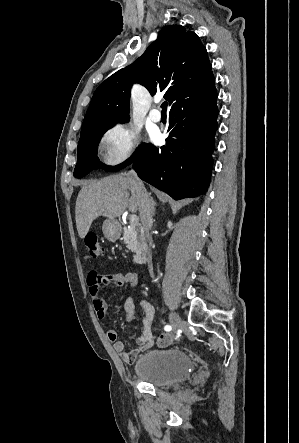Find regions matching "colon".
Wrapping results in <instances>:
<instances>
[{"instance_id":"1","label":"colon","mask_w":299,"mask_h":443,"mask_svg":"<svg viewBox=\"0 0 299 443\" xmlns=\"http://www.w3.org/2000/svg\"><path fill=\"white\" fill-rule=\"evenodd\" d=\"M85 246L88 250V253L91 257H99L103 254V248L99 242L98 236L96 233L90 232L87 233L84 238Z\"/></svg>"}]
</instances>
